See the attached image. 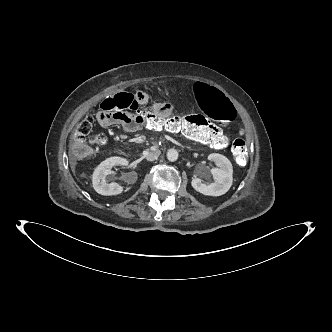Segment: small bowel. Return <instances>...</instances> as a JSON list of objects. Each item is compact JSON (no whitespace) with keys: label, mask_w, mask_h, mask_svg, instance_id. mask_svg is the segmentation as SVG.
<instances>
[{"label":"small bowel","mask_w":332,"mask_h":332,"mask_svg":"<svg viewBox=\"0 0 332 332\" xmlns=\"http://www.w3.org/2000/svg\"><path fill=\"white\" fill-rule=\"evenodd\" d=\"M138 106L142 107L148 104L149 95L144 91H138L136 93ZM145 111V109H143ZM149 110L154 112V115L158 113L161 117H166L172 112L173 107L167 102H155L151 105ZM96 119L101 126L120 125L125 132L136 133L142 131L145 128L142 123V117L140 114L131 111H115L111 110H98L96 112Z\"/></svg>","instance_id":"obj_1"}]
</instances>
